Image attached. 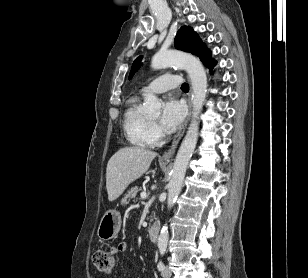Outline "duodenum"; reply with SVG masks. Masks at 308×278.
I'll use <instances>...</instances> for the list:
<instances>
[{
	"label": "duodenum",
	"instance_id": "obj_1",
	"mask_svg": "<svg viewBox=\"0 0 308 278\" xmlns=\"http://www.w3.org/2000/svg\"><path fill=\"white\" fill-rule=\"evenodd\" d=\"M159 232V226L157 224L152 225L148 231L149 240L151 242H156L159 237Z\"/></svg>",
	"mask_w": 308,
	"mask_h": 278
}]
</instances>
